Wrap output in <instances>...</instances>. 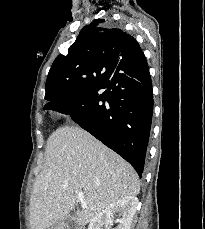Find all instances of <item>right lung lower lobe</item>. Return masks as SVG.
I'll return each mask as SVG.
<instances>
[{"label": "right lung lower lobe", "instance_id": "1", "mask_svg": "<svg viewBox=\"0 0 205 229\" xmlns=\"http://www.w3.org/2000/svg\"><path fill=\"white\" fill-rule=\"evenodd\" d=\"M44 108L70 116L127 160L141 177L153 113L152 82L144 54L135 64L119 63L105 84L57 99Z\"/></svg>", "mask_w": 205, "mask_h": 229}]
</instances>
